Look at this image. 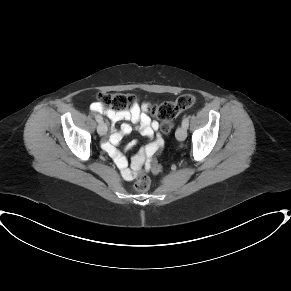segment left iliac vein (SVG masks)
<instances>
[{"instance_id":"left-iliac-vein-1","label":"left iliac vein","mask_w":291,"mask_h":291,"mask_svg":"<svg viewBox=\"0 0 291 291\" xmlns=\"http://www.w3.org/2000/svg\"><path fill=\"white\" fill-rule=\"evenodd\" d=\"M186 136H187V131H186V129L183 126L179 127L176 130V138L179 141H184L186 139Z\"/></svg>"}]
</instances>
